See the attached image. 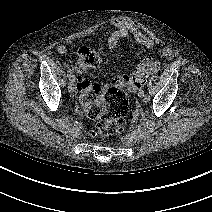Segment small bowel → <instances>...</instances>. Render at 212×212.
I'll return each instance as SVG.
<instances>
[{
  "label": "small bowel",
  "instance_id": "c3829d8e",
  "mask_svg": "<svg viewBox=\"0 0 212 212\" xmlns=\"http://www.w3.org/2000/svg\"><path fill=\"white\" fill-rule=\"evenodd\" d=\"M110 33L107 38V48L109 50H114L121 39L132 37V39L139 45L151 49L156 46V41L148 37L142 31H140L132 22L126 20L115 19L109 23ZM57 52L60 55H67L69 49L65 45H59L57 47ZM161 54L164 57H171L174 55V50L170 47H165L161 50ZM161 68V63L159 60L154 58H145L137 66L136 74L147 76L149 74L157 73ZM132 91L137 89L129 88ZM80 95V91H79Z\"/></svg>",
  "mask_w": 212,
  "mask_h": 212
}]
</instances>
